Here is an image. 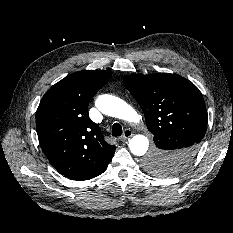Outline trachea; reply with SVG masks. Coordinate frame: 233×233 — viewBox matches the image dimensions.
<instances>
[{"instance_id": "3493384b", "label": "trachea", "mask_w": 233, "mask_h": 233, "mask_svg": "<svg viewBox=\"0 0 233 233\" xmlns=\"http://www.w3.org/2000/svg\"><path fill=\"white\" fill-rule=\"evenodd\" d=\"M122 127L119 123H114L112 126V135L118 137L122 135Z\"/></svg>"}]
</instances>
